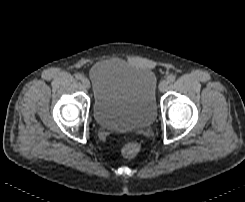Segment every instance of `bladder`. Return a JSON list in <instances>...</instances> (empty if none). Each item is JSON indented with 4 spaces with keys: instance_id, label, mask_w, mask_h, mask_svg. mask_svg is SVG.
Segmentation results:
<instances>
[{
    "instance_id": "1",
    "label": "bladder",
    "mask_w": 245,
    "mask_h": 202,
    "mask_svg": "<svg viewBox=\"0 0 245 202\" xmlns=\"http://www.w3.org/2000/svg\"><path fill=\"white\" fill-rule=\"evenodd\" d=\"M90 78L97 125L129 132L154 122L157 78L151 69L124 60L102 62L92 67Z\"/></svg>"
}]
</instances>
